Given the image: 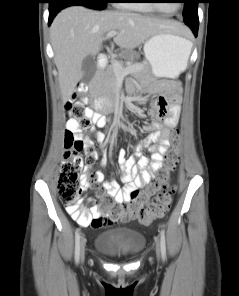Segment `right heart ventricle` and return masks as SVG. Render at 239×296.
<instances>
[{"label": "right heart ventricle", "instance_id": "1", "mask_svg": "<svg viewBox=\"0 0 239 296\" xmlns=\"http://www.w3.org/2000/svg\"><path fill=\"white\" fill-rule=\"evenodd\" d=\"M142 2H146V0H121L120 3L117 4V7L138 10L146 13L154 12V9L148 3Z\"/></svg>", "mask_w": 239, "mask_h": 296}]
</instances>
